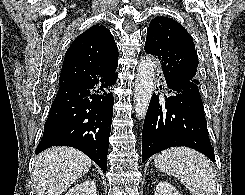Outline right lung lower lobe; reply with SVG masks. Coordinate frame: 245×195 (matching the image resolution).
<instances>
[{"instance_id":"obj_1","label":"right lung lower lobe","mask_w":245,"mask_h":195,"mask_svg":"<svg viewBox=\"0 0 245 195\" xmlns=\"http://www.w3.org/2000/svg\"><path fill=\"white\" fill-rule=\"evenodd\" d=\"M117 73L97 71L87 80L59 85L36 154L52 146L74 147L107 169Z\"/></svg>"}]
</instances>
